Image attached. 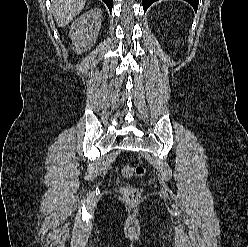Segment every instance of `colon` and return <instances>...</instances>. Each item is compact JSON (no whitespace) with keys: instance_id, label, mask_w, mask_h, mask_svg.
Masks as SVG:
<instances>
[{"instance_id":"obj_1","label":"colon","mask_w":248,"mask_h":247,"mask_svg":"<svg viewBox=\"0 0 248 247\" xmlns=\"http://www.w3.org/2000/svg\"><path fill=\"white\" fill-rule=\"evenodd\" d=\"M144 173L145 169L142 166H133L131 164H125L121 170V174L124 178L142 176ZM119 191L123 199L129 204H135L140 200V192L135 187L120 186Z\"/></svg>"}]
</instances>
